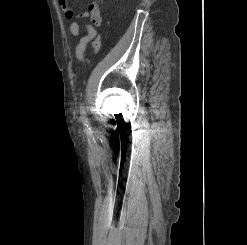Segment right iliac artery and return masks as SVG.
<instances>
[{
	"mask_svg": "<svg viewBox=\"0 0 247 245\" xmlns=\"http://www.w3.org/2000/svg\"><path fill=\"white\" fill-rule=\"evenodd\" d=\"M81 113H82V115H83L82 120H83L85 126H86L88 129H90V128H89L88 121H87V118H86V116H85V115H86V112H85V110H84V107L82 108Z\"/></svg>",
	"mask_w": 247,
	"mask_h": 245,
	"instance_id": "right-iliac-artery-1",
	"label": "right iliac artery"
}]
</instances>
